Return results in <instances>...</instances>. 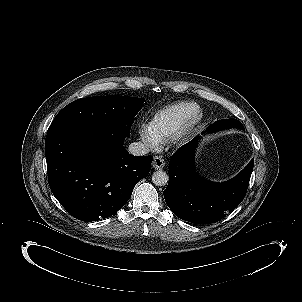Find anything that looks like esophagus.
Instances as JSON below:
<instances>
[{
  "label": "esophagus",
  "instance_id": "esophagus-1",
  "mask_svg": "<svg viewBox=\"0 0 302 302\" xmlns=\"http://www.w3.org/2000/svg\"><path fill=\"white\" fill-rule=\"evenodd\" d=\"M165 165L164 159L160 156H155L153 159L152 166L154 169H162Z\"/></svg>",
  "mask_w": 302,
  "mask_h": 302
}]
</instances>
